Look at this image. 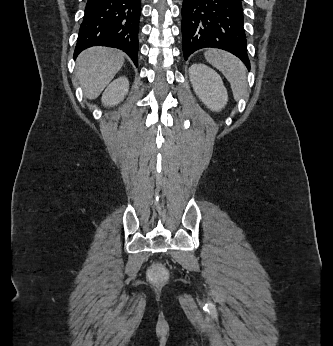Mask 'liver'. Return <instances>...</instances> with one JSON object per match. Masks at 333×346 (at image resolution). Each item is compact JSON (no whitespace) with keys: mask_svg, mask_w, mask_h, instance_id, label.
Segmentation results:
<instances>
[{"mask_svg":"<svg viewBox=\"0 0 333 346\" xmlns=\"http://www.w3.org/2000/svg\"><path fill=\"white\" fill-rule=\"evenodd\" d=\"M124 63V54L108 47H91L77 58L76 76L88 99H96Z\"/></svg>","mask_w":333,"mask_h":346,"instance_id":"1","label":"liver"}]
</instances>
